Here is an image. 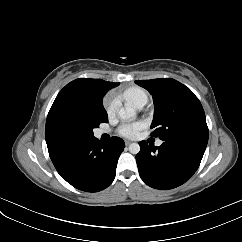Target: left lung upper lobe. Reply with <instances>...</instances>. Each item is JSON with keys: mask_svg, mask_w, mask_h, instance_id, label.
Masks as SVG:
<instances>
[{"mask_svg": "<svg viewBox=\"0 0 242 242\" xmlns=\"http://www.w3.org/2000/svg\"><path fill=\"white\" fill-rule=\"evenodd\" d=\"M153 96L155 111L152 136L171 144L200 142L207 144L209 130L199 99L185 85L171 79L135 81Z\"/></svg>", "mask_w": 242, "mask_h": 242, "instance_id": "1", "label": "left lung upper lobe"}]
</instances>
